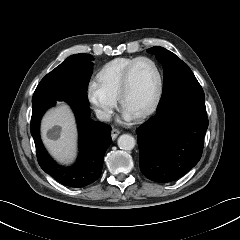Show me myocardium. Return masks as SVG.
Here are the masks:
<instances>
[{"mask_svg":"<svg viewBox=\"0 0 240 240\" xmlns=\"http://www.w3.org/2000/svg\"><path fill=\"white\" fill-rule=\"evenodd\" d=\"M141 61H148L150 62L156 71L157 74V89H156V93L150 103V105L144 109L143 111H141L139 114H137L136 116H134L133 118L136 120H141L144 119L146 117H148L150 114H152L154 112V110L157 108L162 94H163V87H164V82H163V74L162 71L160 69V66L158 65V63L152 59L151 57L148 56H140L137 57L125 70L123 77H122V83H121V89H120V93L118 96V103H119V107L121 109H123V104L124 101L129 93L130 90V77H131V73L133 71V68L135 67V65Z\"/></svg>","mask_w":240,"mask_h":240,"instance_id":"obj_1","label":"myocardium"}]
</instances>
